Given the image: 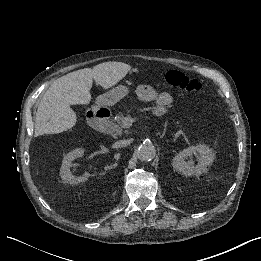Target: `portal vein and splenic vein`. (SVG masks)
Here are the masks:
<instances>
[{
    "label": "portal vein and splenic vein",
    "mask_w": 261,
    "mask_h": 261,
    "mask_svg": "<svg viewBox=\"0 0 261 261\" xmlns=\"http://www.w3.org/2000/svg\"><path fill=\"white\" fill-rule=\"evenodd\" d=\"M136 121V118L125 117L124 120L121 122V127L123 129H129L133 126V123Z\"/></svg>",
    "instance_id": "1"
}]
</instances>
